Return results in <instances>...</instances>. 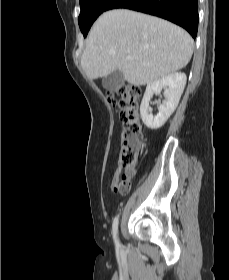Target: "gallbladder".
<instances>
[{
  "label": "gallbladder",
  "instance_id": "gallbladder-1",
  "mask_svg": "<svg viewBox=\"0 0 229 280\" xmlns=\"http://www.w3.org/2000/svg\"><path fill=\"white\" fill-rule=\"evenodd\" d=\"M123 82L124 76L121 71L117 70L103 78L102 86L110 92H115L122 86Z\"/></svg>",
  "mask_w": 229,
  "mask_h": 280
}]
</instances>
